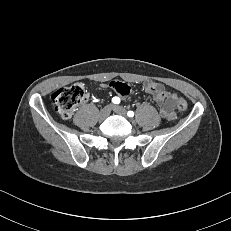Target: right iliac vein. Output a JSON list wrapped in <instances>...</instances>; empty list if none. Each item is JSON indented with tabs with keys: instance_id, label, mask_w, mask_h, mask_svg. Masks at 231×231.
I'll return each mask as SVG.
<instances>
[{
	"instance_id": "obj_1",
	"label": "right iliac vein",
	"mask_w": 231,
	"mask_h": 231,
	"mask_svg": "<svg viewBox=\"0 0 231 231\" xmlns=\"http://www.w3.org/2000/svg\"><path fill=\"white\" fill-rule=\"evenodd\" d=\"M110 112H111V106L110 105L105 106L100 111V118L105 119L110 115Z\"/></svg>"
}]
</instances>
